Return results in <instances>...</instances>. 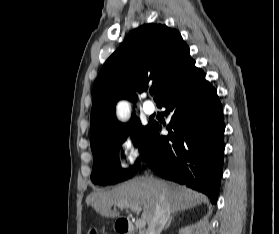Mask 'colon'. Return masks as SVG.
I'll return each mask as SVG.
<instances>
[{"mask_svg": "<svg viewBox=\"0 0 279 234\" xmlns=\"http://www.w3.org/2000/svg\"><path fill=\"white\" fill-rule=\"evenodd\" d=\"M88 234H99V232L96 229H91Z\"/></svg>", "mask_w": 279, "mask_h": 234, "instance_id": "5ec220e1", "label": "colon"}]
</instances>
